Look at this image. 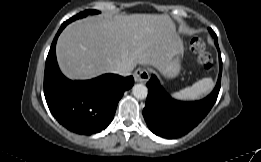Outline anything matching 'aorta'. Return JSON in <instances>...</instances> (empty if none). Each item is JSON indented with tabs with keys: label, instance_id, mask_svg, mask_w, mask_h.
<instances>
[{
	"label": "aorta",
	"instance_id": "obj_1",
	"mask_svg": "<svg viewBox=\"0 0 261 162\" xmlns=\"http://www.w3.org/2000/svg\"><path fill=\"white\" fill-rule=\"evenodd\" d=\"M132 93L137 99H145L147 97L148 89L144 84H135L132 88Z\"/></svg>",
	"mask_w": 261,
	"mask_h": 162
}]
</instances>
